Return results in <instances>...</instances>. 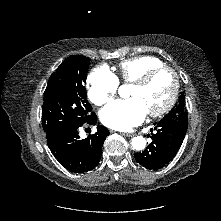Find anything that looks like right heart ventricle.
<instances>
[{
  "label": "right heart ventricle",
  "instance_id": "obj_1",
  "mask_svg": "<svg viewBox=\"0 0 221 221\" xmlns=\"http://www.w3.org/2000/svg\"><path fill=\"white\" fill-rule=\"evenodd\" d=\"M163 62L153 56H137L123 60L117 67L118 78L125 83H133L145 72L162 66Z\"/></svg>",
  "mask_w": 221,
  "mask_h": 221
}]
</instances>
